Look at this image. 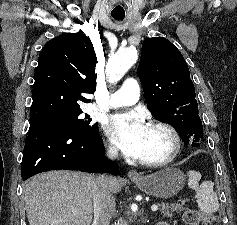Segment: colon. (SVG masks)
<instances>
[{"instance_id": "5ec220e1", "label": "colon", "mask_w": 237, "mask_h": 225, "mask_svg": "<svg viewBox=\"0 0 237 225\" xmlns=\"http://www.w3.org/2000/svg\"><path fill=\"white\" fill-rule=\"evenodd\" d=\"M183 220L187 225H219L218 219L213 214H201L195 209H186Z\"/></svg>"}]
</instances>
